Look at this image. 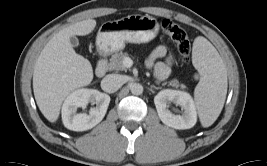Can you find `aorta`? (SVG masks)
Instances as JSON below:
<instances>
[{
  "mask_svg": "<svg viewBox=\"0 0 267 166\" xmlns=\"http://www.w3.org/2000/svg\"><path fill=\"white\" fill-rule=\"evenodd\" d=\"M131 93L134 95H140L143 93V86L139 83H134L130 87Z\"/></svg>",
  "mask_w": 267,
  "mask_h": 166,
  "instance_id": "1",
  "label": "aorta"
}]
</instances>
